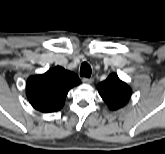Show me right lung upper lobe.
I'll return each instance as SVG.
<instances>
[{"mask_svg":"<svg viewBox=\"0 0 165 154\" xmlns=\"http://www.w3.org/2000/svg\"><path fill=\"white\" fill-rule=\"evenodd\" d=\"M79 83L76 74L56 66L44 74L29 77L26 94L36 110L55 112L63 107L69 90Z\"/></svg>","mask_w":165,"mask_h":154,"instance_id":"right-lung-upper-lobe-1","label":"right lung upper lobe"}]
</instances>
